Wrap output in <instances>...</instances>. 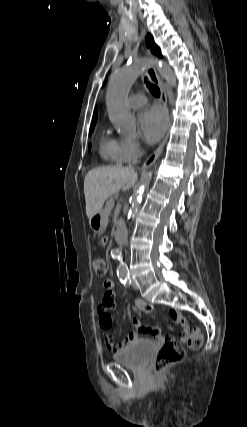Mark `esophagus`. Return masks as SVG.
<instances>
[{
	"instance_id": "1",
	"label": "esophagus",
	"mask_w": 247,
	"mask_h": 427,
	"mask_svg": "<svg viewBox=\"0 0 247 427\" xmlns=\"http://www.w3.org/2000/svg\"><path fill=\"white\" fill-rule=\"evenodd\" d=\"M146 55L149 57L151 56L149 51H146ZM146 71H147V75L150 78V80L160 88V92H161L160 100H161L164 108L166 109V111L168 113L169 110H168V99H167L166 88H165L164 84L162 83L155 66L151 63L150 65L147 66ZM169 127H170V121L168 123V129H169ZM168 134L169 133L167 132L165 138L163 139L161 144L158 146V148L144 161L143 168L151 166L157 160V158L161 155V153L164 149V146L167 142Z\"/></svg>"
}]
</instances>
